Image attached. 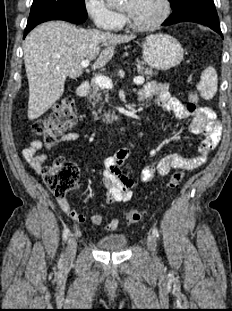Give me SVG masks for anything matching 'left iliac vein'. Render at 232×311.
Segmentation results:
<instances>
[{
	"instance_id": "left-iliac-vein-1",
	"label": "left iliac vein",
	"mask_w": 232,
	"mask_h": 311,
	"mask_svg": "<svg viewBox=\"0 0 232 311\" xmlns=\"http://www.w3.org/2000/svg\"><path fill=\"white\" fill-rule=\"evenodd\" d=\"M147 248L150 251L154 260H157L156 250H157V240L154 235H149L147 238Z\"/></svg>"
}]
</instances>
